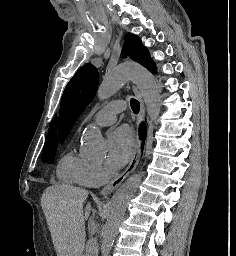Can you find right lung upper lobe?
Masks as SVG:
<instances>
[{
  "instance_id": "right-lung-upper-lobe-1",
  "label": "right lung upper lobe",
  "mask_w": 236,
  "mask_h": 256,
  "mask_svg": "<svg viewBox=\"0 0 236 256\" xmlns=\"http://www.w3.org/2000/svg\"><path fill=\"white\" fill-rule=\"evenodd\" d=\"M56 125H57V121L55 119L51 126V130H50L47 142H57V127H56Z\"/></svg>"
}]
</instances>
